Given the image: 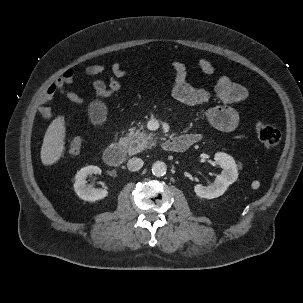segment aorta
Instances as JSON below:
<instances>
[{
	"mask_svg": "<svg viewBox=\"0 0 303 303\" xmlns=\"http://www.w3.org/2000/svg\"><path fill=\"white\" fill-rule=\"evenodd\" d=\"M167 171V165L163 161H156L152 165V173L153 175L160 177L164 176Z\"/></svg>",
	"mask_w": 303,
	"mask_h": 303,
	"instance_id": "aorta-1",
	"label": "aorta"
}]
</instances>
